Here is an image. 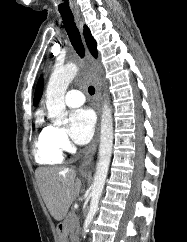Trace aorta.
Listing matches in <instances>:
<instances>
[{
	"label": "aorta",
	"instance_id": "762f6f07",
	"mask_svg": "<svg viewBox=\"0 0 187 242\" xmlns=\"http://www.w3.org/2000/svg\"><path fill=\"white\" fill-rule=\"evenodd\" d=\"M78 72L75 64H66L54 69L46 90V106L48 116L56 123L66 117L65 93ZM113 147V119L108 101L105 100L101 117L100 144L98 162L92 184L90 209L84 223V232L93 220L98 207L99 199L105 185Z\"/></svg>",
	"mask_w": 187,
	"mask_h": 242
}]
</instances>
